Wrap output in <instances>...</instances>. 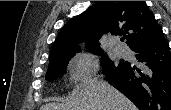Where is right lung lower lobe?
<instances>
[{
    "label": "right lung lower lobe",
    "instance_id": "obj_1",
    "mask_svg": "<svg viewBox=\"0 0 171 110\" xmlns=\"http://www.w3.org/2000/svg\"><path fill=\"white\" fill-rule=\"evenodd\" d=\"M132 50L142 66L125 62L106 74L108 82L140 110H171V52L164 35Z\"/></svg>",
    "mask_w": 171,
    "mask_h": 110
}]
</instances>
